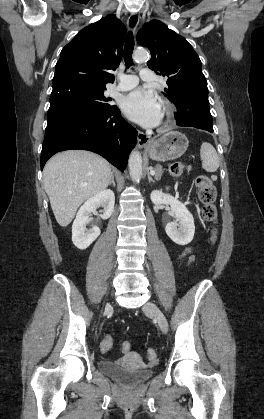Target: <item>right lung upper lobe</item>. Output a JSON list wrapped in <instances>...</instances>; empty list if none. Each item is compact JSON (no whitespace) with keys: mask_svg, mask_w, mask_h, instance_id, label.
Returning <instances> with one entry per match:
<instances>
[{"mask_svg":"<svg viewBox=\"0 0 264 419\" xmlns=\"http://www.w3.org/2000/svg\"><path fill=\"white\" fill-rule=\"evenodd\" d=\"M126 27L109 15L82 29L61 51L51 94L73 88H106L122 58Z\"/></svg>","mask_w":264,"mask_h":419,"instance_id":"1","label":"right lung upper lobe"}]
</instances>
